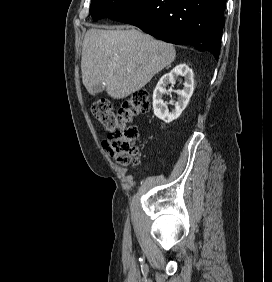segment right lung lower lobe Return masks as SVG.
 Here are the masks:
<instances>
[{
	"mask_svg": "<svg viewBox=\"0 0 272 282\" xmlns=\"http://www.w3.org/2000/svg\"><path fill=\"white\" fill-rule=\"evenodd\" d=\"M226 0H137L110 16L173 44L219 57Z\"/></svg>",
	"mask_w": 272,
	"mask_h": 282,
	"instance_id": "right-lung-lower-lobe-1",
	"label": "right lung lower lobe"
}]
</instances>
